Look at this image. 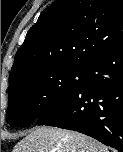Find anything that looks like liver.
Listing matches in <instances>:
<instances>
[{"label": "liver", "instance_id": "obj_1", "mask_svg": "<svg viewBox=\"0 0 123 152\" xmlns=\"http://www.w3.org/2000/svg\"><path fill=\"white\" fill-rule=\"evenodd\" d=\"M13 152H108V148L75 131L38 127L19 141Z\"/></svg>", "mask_w": 123, "mask_h": 152}]
</instances>
